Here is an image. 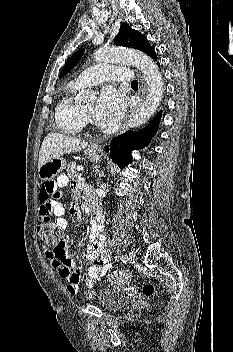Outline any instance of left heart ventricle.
<instances>
[{
	"label": "left heart ventricle",
	"instance_id": "b2bd125f",
	"mask_svg": "<svg viewBox=\"0 0 233 352\" xmlns=\"http://www.w3.org/2000/svg\"><path fill=\"white\" fill-rule=\"evenodd\" d=\"M84 111L88 113L90 116H93L94 114V106L90 105L84 108Z\"/></svg>",
	"mask_w": 233,
	"mask_h": 352
}]
</instances>
